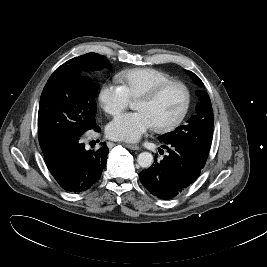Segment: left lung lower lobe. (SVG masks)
Wrapping results in <instances>:
<instances>
[{
    "mask_svg": "<svg viewBox=\"0 0 267 267\" xmlns=\"http://www.w3.org/2000/svg\"><path fill=\"white\" fill-rule=\"evenodd\" d=\"M162 147L168 154L161 161L155 156V163L141 171L139 178L154 196L168 200L198 178L207 159L189 145L163 142Z\"/></svg>",
    "mask_w": 267,
    "mask_h": 267,
    "instance_id": "1",
    "label": "left lung lower lobe"
}]
</instances>
